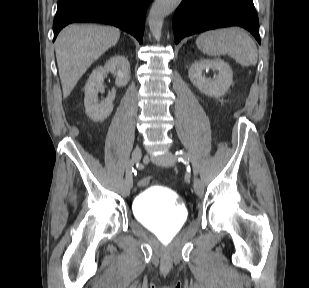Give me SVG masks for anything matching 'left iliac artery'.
<instances>
[{"label": "left iliac artery", "mask_w": 309, "mask_h": 288, "mask_svg": "<svg viewBox=\"0 0 309 288\" xmlns=\"http://www.w3.org/2000/svg\"><path fill=\"white\" fill-rule=\"evenodd\" d=\"M175 160L181 161L185 164L189 163L191 161L192 163V169L194 174H198V164L191 158V156L189 154H187L185 151L183 150H177L175 152Z\"/></svg>", "instance_id": "left-iliac-artery-1"}]
</instances>
